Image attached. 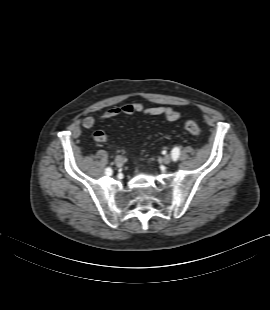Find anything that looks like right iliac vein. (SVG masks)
<instances>
[{"label":"right iliac vein","instance_id":"right-iliac-vein-1","mask_svg":"<svg viewBox=\"0 0 270 310\" xmlns=\"http://www.w3.org/2000/svg\"><path fill=\"white\" fill-rule=\"evenodd\" d=\"M123 162H124V159H123L122 156H117V157L115 158V164H116L118 167L122 166V165H123Z\"/></svg>","mask_w":270,"mask_h":310}]
</instances>
